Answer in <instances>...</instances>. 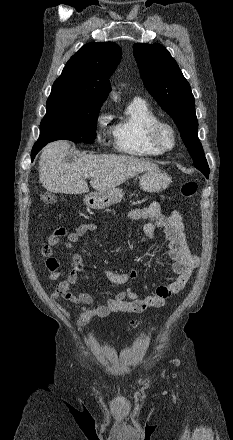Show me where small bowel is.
Segmentation results:
<instances>
[{"instance_id": "small-bowel-1", "label": "small bowel", "mask_w": 233, "mask_h": 440, "mask_svg": "<svg viewBox=\"0 0 233 440\" xmlns=\"http://www.w3.org/2000/svg\"><path fill=\"white\" fill-rule=\"evenodd\" d=\"M126 216L132 221H145L143 232L149 239L154 237L157 228L164 231L169 241L170 273L174 278L168 284L158 286L153 295L141 297L130 290L119 291L108 297L104 304L93 306L95 298L91 294L72 290L84 268L81 255L72 251V268L69 272L60 269V263L55 255L58 246L72 250L80 237L95 231L97 226L92 223L80 224L70 233L64 227L55 228L50 233L48 242L40 247L41 255L47 257L45 268L48 271L49 280L56 281L66 276L51 293V300L65 317H69V312L59 305L57 300H66L78 306L80 308L77 320L79 328L89 324L94 317L105 318L113 313L140 314L148 308L163 307L171 296L180 293L184 289L193 269L200 263L199 257L190 252L184 233L183 219L178 211L166 215L162 213L160 203L152 201L145 207L129 211ZM102 272L115 285H123L137 276L134 269L121 273L103 269Z\"/></svg>"}]
</instances>
